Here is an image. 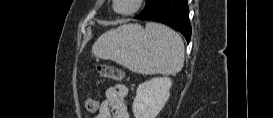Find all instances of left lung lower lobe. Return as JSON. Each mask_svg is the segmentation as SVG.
I'll list each match as a JSON object with an SVG mask.
<instances>
[{
	"mask_svg": "<svg viewBox=\"0 0 273 118\" xmlns=\"http://www.w3.org/2000/svg\"><path fill=\"white\" fill-rule=\"evenodd\" d=\"M141 19L166 24L182 33L187 42H190L191 25L187 0H163L156 10Z\"/></svg>",
	"mask_w": 273,
	"mask_h": 118,
	"instance_id": "1",
	"label": "left lung lower lobe"
}]
</instances>
